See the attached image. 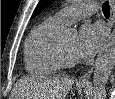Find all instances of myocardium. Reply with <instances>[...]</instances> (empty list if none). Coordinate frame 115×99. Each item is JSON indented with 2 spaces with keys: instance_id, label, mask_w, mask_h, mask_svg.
I'll return each mask as SVG.
<instances>
[{
  "instance_id": "obj_1",
  "label": "myocardium",
  "mask_w": 115,
  "mask_h": 99,
  "mask_svg": "<svg viewBox=\"0 0 115 99\" xmlns=\"http://www.w3.org/2000/svg\"><path fill=\"white\" fill-rule=\"evenodd\" d=\"M57 57L63 67H73L77 64V60L68 56L60 46L57 48Z\"/></svg>"
}]
</instances>
